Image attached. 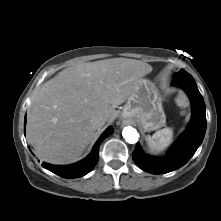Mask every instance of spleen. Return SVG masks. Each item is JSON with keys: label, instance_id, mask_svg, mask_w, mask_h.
<instances>
[{"label": "spleen", "instance_id": "obj_1", "mask_svg": "<svg viewBox=\"0 0 221 221\" xmlns=\"http://www.w3.org/2000/svg\"><path fill=\"white\" fill-rule=\"evenodd\" d=\"M173 138V129L170 127L163 128L155 132L152 136H146V142L152 151L165 150Z\"/></svg>", "mask_w": 221, "mask_h": 221}]
</instances>
